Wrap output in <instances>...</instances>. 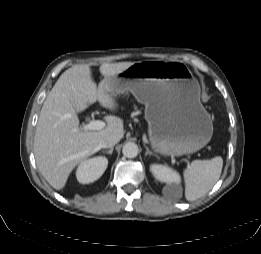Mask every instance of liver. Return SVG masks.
<instances>
[{"instance_id": "liver-1", "label": "liver", "mask_w": 261, "mask_h": 254, "mask_svg": "<svg viewBox=\"0 0 261 254\" xmlns=\"http://www.w3.org/2000/svg\"><path fill=\"white\" fill-rule=\"evenodd\" d=\"M133 62L103 63L99 67L104 79L99 87L92 79L88 64L75 65L59 77L43 103L34 137L36 164L46 181L61 190L72 170L100 149L107 135L124 136L123 120L104 117L101 130H79L77 112L99 101L102 107L115 110L117 103L105 89V84Z\"/></svg>"}]
</instances>
